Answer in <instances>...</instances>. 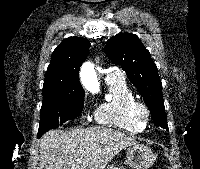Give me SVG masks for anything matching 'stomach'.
<instances>
[{"instance_id": "stomach-1", "label": "stomach", "mask_w": 200, "mask_h": 169, "mask_svg": "<svg viewBox=\"0 0 200 169\" xmlns=\"http://www.w3.org/2000/svg\"><path fill=\"white\" fill-rule=\"evenodd\" d=\"M155 155L144 145H132L127 148L126 164L132 169H148L153 165Z\"/></svg>"}]
</instances>
